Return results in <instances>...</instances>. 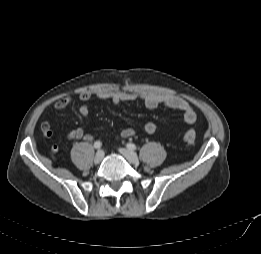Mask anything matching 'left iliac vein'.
<instances>
[{
  "label": "left iliac vein",
  "instance_id": "1",
  "mask_svg": "<svg viewBox=\"0 0 261 254\" xmlns=\"http://www.w3.org/2000/svg\"><path fill=\"white\" fill-rule=\"evenodd\" d=\"M119 152L132 164H137L139 162L137 155L128 149L119 148Z\"/></svg>",
  "mask_w": 261,
  "mask_h": 254
}]
</instances>
